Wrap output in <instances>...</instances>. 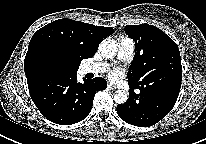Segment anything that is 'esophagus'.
Segmentation results:
<instances>
[{
  "label": "esophagus",
  "mask_w": 206,
  "mask_h": 144,
  "mask_svg": "<svg viewBox=\"0 0 206 144\" xmlns=\"http://www.w3.org/2000/svg\"><path fill=\"white\" fill-rule=\"evenodd\" d=\"M108 88H110L111 90H115L117 87L112 83H108Z\"/></svg>",
  "instance_id": "1"
}]
</instances>
